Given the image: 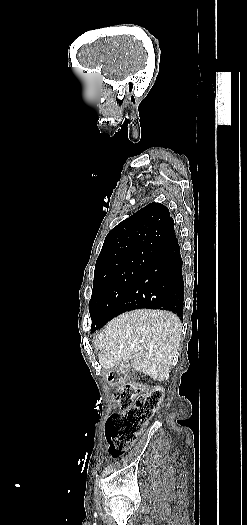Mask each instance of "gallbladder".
<instances>
[{"label": "gallbladder", "instance_id": "bac80fb5", "mask_svg": "<svg viewBox=\"0 0 247 525\" xmlns=\"http://www.w3.org/2000/svg\"><path fill=\"white\" fill-rule=\"evenodd\" d=\"M137 372V369L135 367L129 368V373L135 374Z\"/></svg>", "mask_w": 247, "mask_h": 525}]
</instances>
